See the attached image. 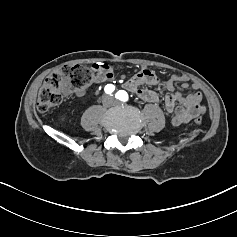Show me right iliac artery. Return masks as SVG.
I'll use <instances>...</instances> for the list:
<instances>
[{"label": "right iliac artery", "instance_id": "1", "mask_svg": "<svg viewBox=\"0 0 237 237\" xmlns=\"http://www.w3.org/2000/svg\"><path fill=\"white\" fill-rule=\"evenodd\" d=\"M115 90V86L112 84H107L104 88L105 93L111 94Z\"/></svg>", "mask_w": 237, "mask_h": 237}]
</instances>
